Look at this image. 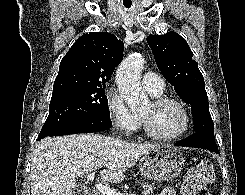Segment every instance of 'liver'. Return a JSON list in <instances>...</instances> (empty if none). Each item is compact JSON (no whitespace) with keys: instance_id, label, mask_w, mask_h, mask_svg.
<instances>
[{"instance_id":"6515ba94","label":"liver","mask_w":245,"mask_h":195,"mask_svg":"<svg viewBox=\"0 0 245 195\" xmlns=\"http://www.w3.org/2000/svg\"><path fill=\"white\" fill-rule=\"evenodd\" d=\"M158 144H136L101 134L46 137L37 145L31 167L32 195H73L76 179L101 169L104 181L119 183L124 172Z\"/></svg>"}]
</instances>
